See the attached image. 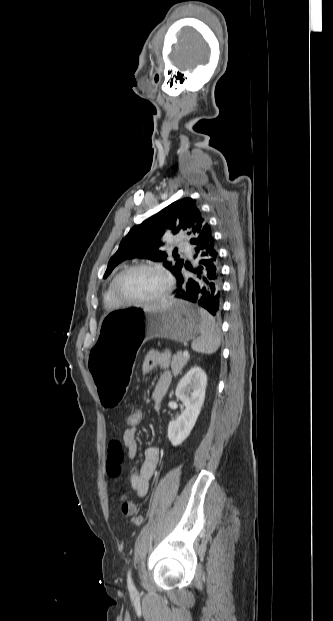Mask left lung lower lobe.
Wrapping results in <instances>:
<instances>
[{
    "label": "left lung lower lobe",
    "mask_w": 333,
    "mask_h": 621,
    "mask_svg": "<svg viewBox=\"0 0 333 621\" xmlns=\"http://www.w3.org/2000/svg\"><path fill=\"white\" fill-rule=\"evenodd\" d=\"M195 247L194 258L198 262L195 268L185 264L193 278H184L181 270L177 273L175 298L196 303L213 316H218L222 308V279L220 257L209 225L202 228L199 236L192 241Z\"/></svg>",
    "instance_id": "0a47b994"
}]
</instances>
